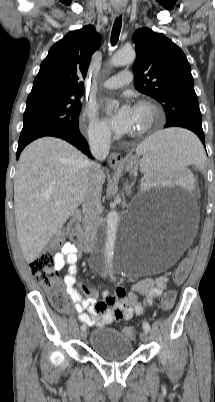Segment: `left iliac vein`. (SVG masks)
Masks as SVG:
<instances>
[{
	"mask_svg": "<svg viewBox=\"0 0 215 402\" xmlns=\"http://www.w3.org/2000/svg\"><path fill=\"white\" fill-rule=\"evenodd\" d=\"M140 338H141V340H142L144 343L148 342V340H149L148 332L145 331V330L142 331V332L140 333Z\"/></svg>",
	"mask_w": 215,
	"mask_h": 402,
	"instance_id": "obj_1",
	"label": "left iliac vein"
}]
</instances>
